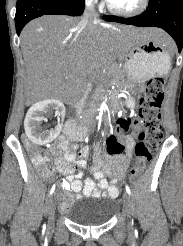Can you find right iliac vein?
<instances>
[{
  "label": "right iliac vein",
  "instance_id": "63e3f726",
  "mask_svg": "<svg viewBox=\"0 0 183 246\" xmlns=\"http://www.w3.org/2000/svg\"><path fill=\"white\" fill-rule=\"evenodd\" d=\"M57 193L51 197L48 206V225L50 228L54 226V211H55V203H56Z\"/></svg>",
  "mask_w": 183,
  "mask_h": 246
}]
</instances>
